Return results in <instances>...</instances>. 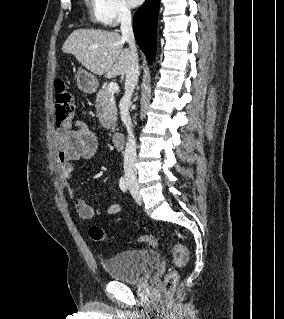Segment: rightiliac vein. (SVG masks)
Listing matches in <instances>:
<instances>
[{
  "label": "right iliac vein",
  "instance_id": "63e3f726",
  "mask_svg": "<svg viewBox=\"0 0 284 319\" xmlns=\"http://www.w3.org/2000/svg\"><path fill=\"white\" fill-rule=\"evenodd\" d=\"M125 177H126L127 185L129 187L133 197L137 201H141V194H140L139 185L137 183L135 174L133 172L127 170L125 172Z\"/></svg>",
  "mask_w": 284,
  "mask_h": 319
}]
</instances>
